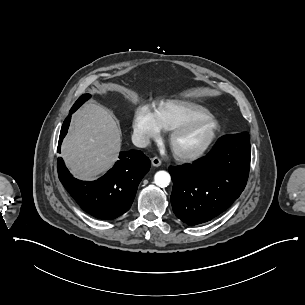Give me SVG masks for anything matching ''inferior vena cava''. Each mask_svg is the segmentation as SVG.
Segmentation results:
<instances>
[{"label": "inferior vena cava", "mask_w": 305, "mask_h": 305, "mask_svg": "<svg viewBox=\"0 0 305 305\" xmlns=\"http://www.w3.org/2000/svg\"><path fill=\"white\" fill-rule=\"evenodd\" d=\"M132 142L139 148H145L149 145L150 139L145 134L139 131H134V134L132 135Z\"/></svg>", "instance_id": "602c4592"}]
</instances>
